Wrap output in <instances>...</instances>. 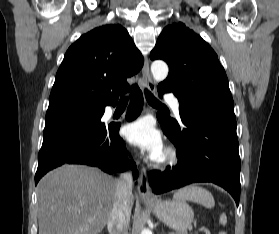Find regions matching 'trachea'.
<instances>
[{"instance_id":"1","label":"trachea","mask_w":279,"mask_h":234,"mask_svg":"<svg viewBox=\"0 0 279 234\" xmlns=\"http://www.w3.org/2000/svg\"><path fill=\"white\" fill-rule=\"evenodd\" d=\"M145 97L148 101L149 104L152 105H160L161 103L152 95V93L148 90L145 89ZM122 102H127V98L123 97L121 98Z\"/></svg>"}]
</instances>
